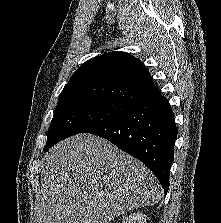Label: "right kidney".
Here are the masks:
<instances>
[{
    "label": "right kidney",
    "mask_w": 221,
    "mask_h": 223,
    "mask_svg": "<svg viewBox=\"0 0 221 223\" xmlns=\"http://www.w3.org/2000/svg\"><path fill=\"white\" fill-rule=\"evenodd\" d=\"M123 223H147V218L142 213H133L126 217Z\"/></svg>",
    "instance_id": "ca27d5eb"
}]
</instances>
